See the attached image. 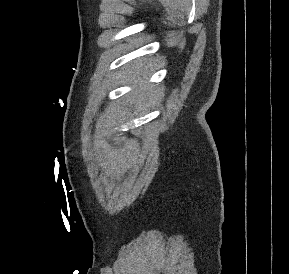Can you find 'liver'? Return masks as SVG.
I'll use <instances>...</instances> for the list:
<instances>
[{
  "label": "liver",
  "mask_w": 289,
  "mask_h": 274,
  "mask_svg": "<svg viewBox=\"0 0 289 274\" xmlns=\"http://www.w3.org/2000/svg\"><path fill=\"white\" fill-rule=\"evenodd\" d=\"M129 48H131V46H128V49ZM124 49L125 47L122 46L121 50ZM155 63L156 60L154 58L139 57L133 60L125 73L126 82H142L145 78L148 77V75H150V72L153 70ZM135 91H138L139 96L147 106L156 103V101L164 94L163 88L151 84L142 85Z\"/></svg>",
  "instance_id": "6515ba94"
}]
</instances>
